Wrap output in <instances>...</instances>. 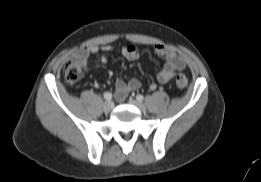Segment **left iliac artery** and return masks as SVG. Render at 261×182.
Listing matches in <instances>:
<instances>
[{
  "instance_id": "44dca946",
  "label": "left iliac artery",
  "mask_w": 261,
  "mask_h": 182,
  "mask_svg": "<svg viewBox=\"0 0 261 182\" xmlns=\"http://www.w3.org/2000/svg\"><path fill=\"white\" fill-rule=\"evenodd\" d=\"M136 99H137L138 101H143L144 96L141 95V94H138V95L136 96Z\"/></svg>"
}]
</instances>
